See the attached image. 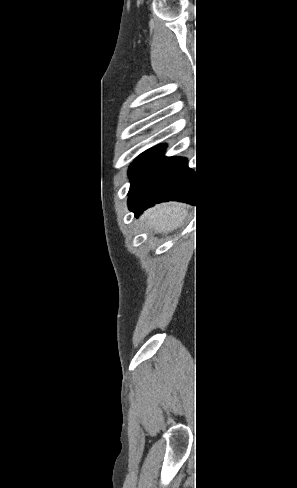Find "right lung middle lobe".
Here are the masks:
<instances>
[{
    "label": "right lung middle lobe",
    "mask_w": 297,
    "mask_h": 488,
    "mask_svg": "<svg viewBox=\"0 0 297 488\" xmlns=\"http://www.w3.org/2000/svg\"><path fill=\"white\" fill-rule=\"evenodd\" d=\"M165 145H159L142 153L130 166L131 187L128 195L150 169L153 163L164 153Z\"/></svg>",
    "instance_id": "right-lung-middle-lobe-1"
}]
</instances>
